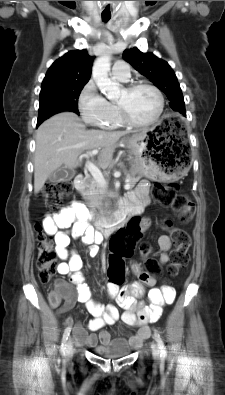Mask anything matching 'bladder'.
Returning a JSON list of instances; mask_svg holds the SVG:
<instances>
[{
	"label": "bladder",
	"instance_id": "bladder-1",
	"mask_svg": "<svg viewBox=\"0 0 225 395\" xmlns=\"http://www.w3.org/2000/svg\"><path fill=\"white\" fill-rule=\"evenodd\" d=\"M132 346L127 340L123 338H116L110 340V342L102 347H98L96 352L104 357L108 358H119L128 355L132 351Z\"/></svg>",
	"mask_w": 225,
	"mask_h": 395
}]
</instances>
